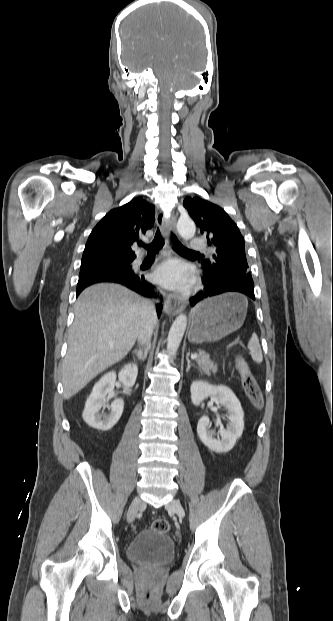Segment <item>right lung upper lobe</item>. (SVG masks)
<instances>
[{
  "instance_id": "right-lung-upper-lobe-1",
  "label": "right lung upper lobe",
  "mask_w": 333,
  "mask_h": 621,
  "mask_svg": "<svg viewBox=\"0 0 333 621\" xmlns=\"http://www.w3.org/2000/svg\"><path fill=\"white\" fill-rule=\"evenodd\" d=\"M154 206L143 198L112 209L92 230L82 259L135 258L132 246L143 244L139 237L153 227Z\"/></svg>"
}]
</instances>
